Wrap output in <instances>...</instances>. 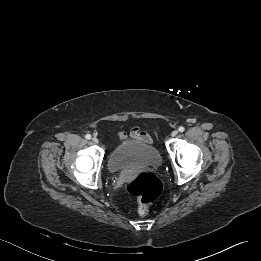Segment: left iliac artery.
Listing matches in <instances>:
<instances>
[{
  "mask_svg": "<svg viewBox=\"0 0 261 261\" xmlns=\"http://www.w3.org/2000/svg\"><path fill=\"white\" fill-rule=\"evenodd\" d=\"M178 130L179 132H184L185 128L183 126H180Z\"/></svg>",
  "mask_w": 261,
  "mask_h": 261,
  "instance_id": "obj_1",
  "label": "left iliac artery"
}]
</instances>
